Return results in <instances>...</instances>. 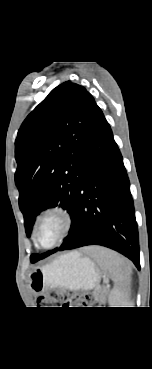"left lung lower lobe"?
Instances as JSON below:
<instances>
[{"label":"left lung lower lobe","instance_id":"obj_1","mask_svg":"<svg viewBox=\"0 0 152 369\" xmlns=\"http://www.w3.org/2000/svg\"><path fill=\"white\" fill-rule=\"evenodd\" d=\"M82 164L83 176L75 200L76 217L68 236L56 251L101 245L128 257L140 269L130 183L102 111L96 118Z\"/></svg>","mask_w":152,"mask_h":369}]
</instances>
